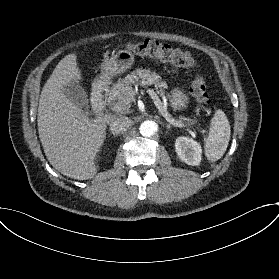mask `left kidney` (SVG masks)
Returning <instances> with one entry per match:
<instances>
[{"label": "left kidney", "instance_id": "1", "mask_svg": "<svg viewBox=\"0 0 279 279\" xmlns=\"http://www.w3.org/2000/svg\"><path fill=\"white\" fill-rule=\"evenodd\" d=\"M175 150L178 157L188 165L196 166L201 161L200 145L188 137H179L175 142Z\"/></svg>", "mask_w": 279, "mask_h": 279}]
</instances>
